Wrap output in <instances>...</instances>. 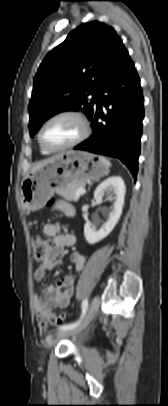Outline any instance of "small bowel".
Here are the masks:
<instances>
[{
    "label": "small bowel",
    "instance_id": "c3829d8e",
    "mask_svg": "<svg viewBox=\"0 0 168 406\" xmlns=\"http://www.w3.org/2000/svg\"><path fill=\"white\" fill-rule=\"evenodd\" d=\"M66 214L71 216L72 210L66 208ZM62 223H48L44 225V233L52 240L53 249L49 258L43 261L34 272V279L38 282L42 281L46 273L57 266V257L65 252L67 247L75 244L76 237L73 234H62ZM70 259L75 266L76 271L83 270L86 258L80 252L74 251L71 253ZM74 295V278L65 276L57 285H47L40 288L35 296V311L39 323L47 326L45 313L54 308H66Z\"/></svg>",
    "mask_w": 168,
    "mask_h": 406
}]
</instances>
